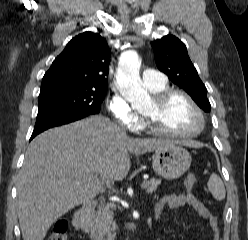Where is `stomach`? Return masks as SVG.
<instances>
[{"label": "stomach", "instance_id": "stomach-1", "mask_svg": "<svg viewBox=\"0 0 248 240\" xmlns=\"http://www.w3.org/2000/svg\"><path fill=\"white\" fill-rule=\"evenodd\" d=\"M155 172L165 179H176L182 176L191 165L190 153L179 145L157 149L152 157Z\"/></svg>", "mask_w": 248, "mask_h": 240}]
</instances>
